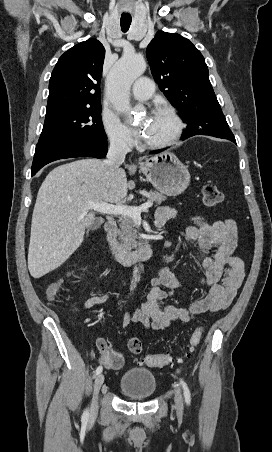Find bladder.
I'll list each match as a JSON object with an SVG mask.
<instances>
[{
    "instance_id": "31cf9c89",
    "label": "bladder",
    "mask_w": 272,
    "mask_h": 452,
    "mask_svg": "<svg viewBox=\"0 0 272 452\" xmlns=\"http://www.w3.org/2000/svg\"><path fill=\"white\" fill-rule=\"evenodd\" d=\"M119 390L130 399H147L156 393L157 380L149 369L132 367L121 376Z\"/></svg>"
}]
</instances>
